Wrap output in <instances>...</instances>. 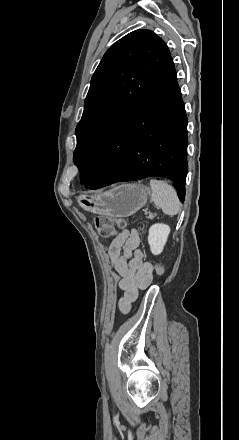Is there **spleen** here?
Wrapping results in <instances>:
<instances>
[{
  "label": "spleen",
  "mask_w": 239,
  "mask_h": 440,
  "mask_svg": "<svg viewBox=\"0 0 239 440\" xmlns=\"http://www.w3.org/2000/svg\"><path fill=\"white\" fill-rule=\"evenodd\" d=\"M152 190L151 200L157 208H161L164 214L176 216L180 210V202L177 192L173 186L162 180H150Z\"/></svg>",
  "instance_id": "spleen-1"
}]
</instances>
